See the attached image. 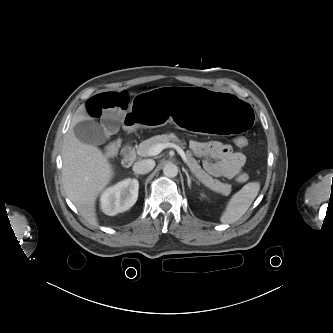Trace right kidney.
<instances>
[{"mask_svg": "<svg viewBox=\"0 0 333 333\" xmlns=\"http://www.w3.org/2000/svg\"><path fill=\"white\" fill-rule=\"evenodd\" d=\"M138 190V180L131 178L107 188L100 198L102 211L111 216L127 211L136 203Z\"/></svg>", "mask_w": 333, "mask_h": 333, "instance_id": "ca27d5eb", "label": "right kidney"}]
</instances>
